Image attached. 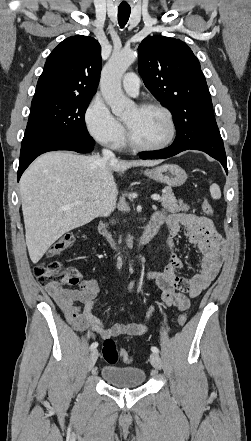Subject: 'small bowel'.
Returning a JSON list of instances; mask_svg holds the SVG:
<instances>
[{"mask_svg": "<svg viewBox=\"0 0 251 441\" xmlns=\"http://www.w3.org/2000/svg\"><path fill=\"white\" fill-rule=\"evenodd\" d=\"M153 217L159 220L161 225L165 223L167 226L170 257L162 271H150L146 278L161 289L162 300L167 306L185 311L190 306V299L198 296L217 277L224 256V240L213 222L200 215L157 212ZM181 231L189 245L199 250L203 256L200 271L191 278H186L179 272L183 268V262L176 252V241ZM46 290L71 326L89 339H94L97 335L102 338L139 336L147 330V320L152 310L143 323H116L106 328L92 313L95 298L99 293V284L95 279L82 280L75 289L49 286Z\"/></svg>", "mask_w": 251, "mask_h": 441, "instance_id": "small-bowel-1", "label": "small bowel"}]
</instances>
